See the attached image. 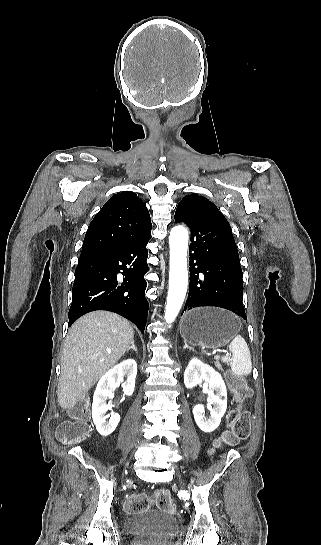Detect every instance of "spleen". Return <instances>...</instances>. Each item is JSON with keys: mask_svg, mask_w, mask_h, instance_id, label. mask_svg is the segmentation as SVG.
<instances>
[{"mask_svg": "<svg viewBox=\"0 0 321 545\" xmlns=\"http://www.w3.org/2000/svg\"><path fill=\"white\" fill-rule=\"evenodd\" d=\"M229 351L233 353L230 357H221L223 363H228L231 367L233 375L236 377H246L252 371L251 355L248 345L241 335H237L229 345Z\"/></svg>", "mask_w": 321, "mask_h": 545, "instance_id": "spleen-1", "label": "spleen"}]
</instances>
